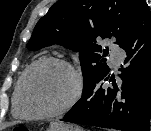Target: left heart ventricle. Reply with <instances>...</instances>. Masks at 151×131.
<instances>
[{"instance_id":"b2bd125f","label":"left heart ventricle","mask_w":151,"mask_h":131,"mask_svg":"<svg viewBox=\"0 0 151 131\" xmlns=\"http://www.w3.org/2000/svg\"><path fill=\"white\" fill-rule=\"evenodd\" d=\"M72 87V77L65 68L55 64L41 66L28 78L23 108L31 113L54 111L68 99Z\"/></svg>"}]
</instances>
